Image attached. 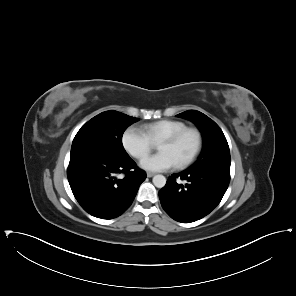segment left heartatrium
I'll return each instance as SVG.
<instances>
[{"label": "left heart atrium", "mask_w": 296, "mask_h": 296, "mask_svg": "<svg viewBox=\"0 0 296 296\" xmlns=\"http://www.w3.org/2000/svg\"><path fill=\"white\" fill-rule=\"evenodd\" d=\"M143 162L149 169L154 171H164L173 165L168 156L165 154L149 157Z\"/></svg>", "instance_id": "1"}]
</instances>
